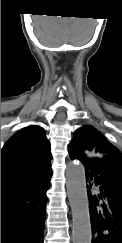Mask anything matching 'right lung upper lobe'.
<instances>
[{
    "mask_svg": "<svg viewBox=\"0 0 122 243\" xmlns=\"http://www.w3.org/2000/svg\"><path fill=\"white\" fill-rule=\"evenodd\" d=\"M50 143L42 127L30 125L13 135L1 151V191L51 171Z\"/></svg>",
    "mask_w": 122,
    "mask_h": 243,
    "instance_id": "1",
    "label": "right lung upper lobe"
}]
</instances>
